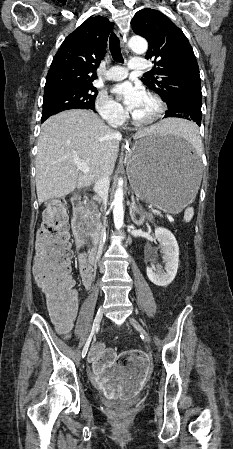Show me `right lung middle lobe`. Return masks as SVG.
I'll use <instances>...</instances> for the list:
<instances>
[{"label": "right lung middle lobe", "mask_w": 233, "mask_h": 449, "mask_svg": "<svg viewBox=\"0 0 233 449\" xmlns=\"http://www.w3.org/2000/svg\"><path fill=\"white\" fill-rule=\"evenodd\" d=\"M98 94L93 85L84 87H66L44 93L42 119L68 109H91Z\"/></svg>", "instance_id": "right-lung-middle-lobe-1"}]
</instances>
